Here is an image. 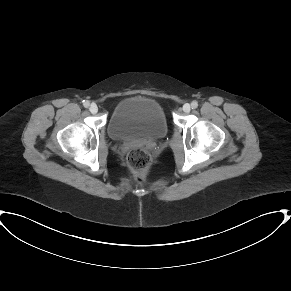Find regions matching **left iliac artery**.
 <instances>
[{
    "label": "left iliac artery",
    "instance_id": "left-iliac-artery-1",
    "mask_svg": "<svg viewBox=\"0 0 291 291\" xmlns=\"http://www.w3.org/2000/svg\"><path fill=\"white\" fill-rule=\"evenodd\" d=\"M191 107L192 109H196L198 107V102L196 100L192 101Z\"/></svg>",
    "mask_w": 291,
    "mask_h": 291
}]
</instances>
